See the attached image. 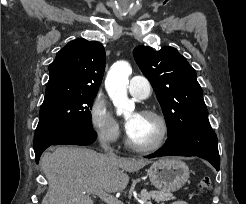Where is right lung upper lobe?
I'll use <instances>...</instances> for the list:
<instances>
[{
	"label": "right lung upper lobe",
	"mask_w": 246,
	"mask_h": 204,
	"mask_svg": "<svg viewBox=\"0 0 246 204\" xmlns=\"http://www.w3.org/2000/svg\"><path fill=\"white\" fill-rule=\"evenodd\" d=\"M105 50L97 41L69 42L49 65L44 101L69 94H97L105 69Z\"/></svg>",
	"instance_id": "right-lung-upper-lobe-1"
}]
</instances>
